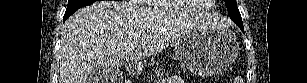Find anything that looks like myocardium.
<instances>
[{
	"label": "myocardium",
	"mask_w": 307,
	"mask_h": 83,
	"mask_svg": "<svg viewBox=\"0 0 307 83\" xmlns=\"http://www.w3.org/2000/svg\"><path fill=\"white\" fill-rule=\"evenodd\" d=\"M171 2L174 4V6L176 7L177 10H179L181 12H185V13H201V12L208 10V7H206L205 5H200L198 7L192 8V9H185L181 5L180 0H173Z\"/></svg>",
	"instance_id": "1"
}]
</instances>
